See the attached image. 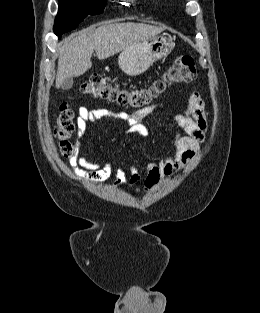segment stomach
Masks as SVG:
<instances>
[{
  "mask_svg": "<svg viewBox=\"0 0 260 313\" xmlns=\"http://www.w3.org/2000/svg\"><path fill=\"white\" fill-rule=\"evenodd\" d=\"M174 48L172 39L165 36L139 41L124 49L118 63L121 70L129 76L144 73L155 61L167 57Z\"/></svg>",
  "mask_w": 260,
  "mask_h": 313,
  "instance_id": "1",
  "label": "stomach"
}]
</instances>
